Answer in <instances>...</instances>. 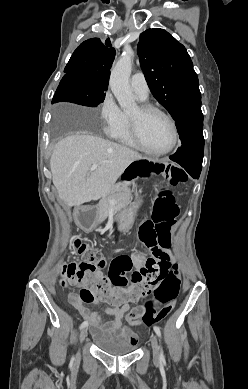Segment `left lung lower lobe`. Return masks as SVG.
Masks as SVG:
<instances>
[{
	"mask_svg": "<svg viewBox=\"0 0 248 389\" xmlns=\"http://www.w3.org/2000/svg\"><path fill=\"white\" fill-rule=\"evenodd\" d=\"M181 147L169 158L181 165L194 179H198L204 154L203 114L201 102L185 107L175 119Z\"/></svg>",
	"mask_w": 248,
	"mask_h": 389,
	"instance_id": "1",
	"label": "left lung lower lobe"
}]
</instances>
